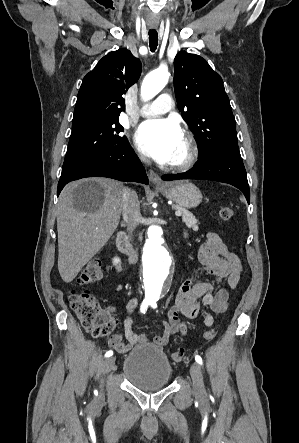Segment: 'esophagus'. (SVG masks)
I'll list each match as a JSON object with an SVG mask.
<instances>
[{"mask_svg": "<svg viewBox=\"0 0 299 443\" xmlns=\"http://www.w3.org/2000/svg\"><path fill=\"white\" fill-rule=\"evenodd\" d=\"M149 179L151 183L155 186H164V183L162 182L160 176L152 170L149 173Z\"/></svg>", "mask_w": 299, "mask_h": 443, "instance_id": "1", "label": "esophagus"}]
</instances>
